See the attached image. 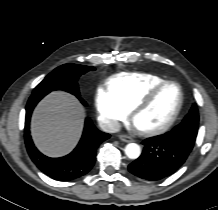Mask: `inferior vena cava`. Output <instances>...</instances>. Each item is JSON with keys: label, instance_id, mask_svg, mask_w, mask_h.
Wrapping results in <instances>:
<instances>
[{"label": "inferior vena cava", "instance_id": "1", "mask_svg": "<svg viewBox=\"0 0 218 210\" xmlns=\"http://www.w3.org/2000/svg\"><path fill=\"white\" fill-rule=\"evenodd\" d=\"M99 126L104 132L107 133H116L121 129V125L118 121L109 120L106 118H102L99 120Z\"/></svg>", "mask_w": 218, "mask_h": 210}]
</instances>
